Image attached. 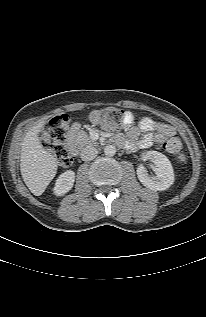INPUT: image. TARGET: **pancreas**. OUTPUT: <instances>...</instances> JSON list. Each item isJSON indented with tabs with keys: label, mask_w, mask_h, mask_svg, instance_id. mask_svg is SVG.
Here are the masks:
<instances>
[{
	"label": "pancreas",
	"mask_w": 206,
	"mask_h": 317,
	"mask_svg": "<svg viewBox=\"0 0 206 317\" xmlns=\"http://www.w3.org/2000/svg\"><path fill=\"white\" fill-rule=\"evenodd\" d=\"M73 137L75 141L81 146L94 144V141L84 131H78L74 133Z\"/></svg>",
	"instance_id": "pancreas-1"
}]
</instances>
